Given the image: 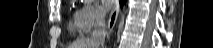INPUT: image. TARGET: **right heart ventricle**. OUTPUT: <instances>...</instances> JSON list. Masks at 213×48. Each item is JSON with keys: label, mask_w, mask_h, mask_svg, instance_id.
I'll use <instances>...</instances> for the list:
<instances>
[{"label": "right heart ventricle", "mask_w": 213, "mask_h": 48, "mask_svg": "<svg viewBox=\"0 0 213 48\" xmlns=\"http://www.w3.org/2000/svg\"><path fill=\"white\" fill-rule=\"evenodd\" d=\"M68 29L70 31H76L77 30V24H76V19H75V16H74V19L72 21L69 22L68 24Z\"/></svg>", "instance_id": "e07e8e85"}]
</instances>
